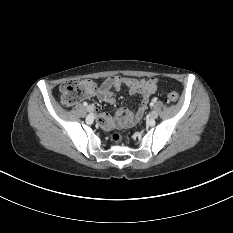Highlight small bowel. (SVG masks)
Returning <instances> with one entry per match:
<instances>
[{
	"instance_id": "small-bowel-1",
	"label": "small bowel",
	"mask_w": 233,
	"mask_h": 233,
	"mask_svg": "<svg viewBox=\"0 0 233 233\" xmlns=\"http://www.w3.org/2000/svg\"><path fill=\"white\" fill-rule=\"evenodd\" d=\"M122 86H126L131 95L139 94L141 96V102L135 112L123 108L119 109L117 111V117L127 122L138 121L146 110L149 97L157 91V79H135L123 76L109 77L101 84L98 91V98L112 105L116 102L113 90L119 91ZM98 122L104 129H110L115 125L113 118L107 113H100Z\"/></svg>"
}]
</instances>
